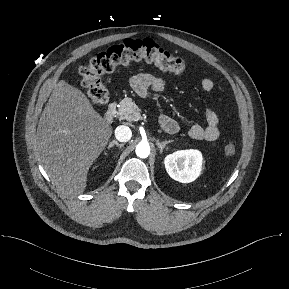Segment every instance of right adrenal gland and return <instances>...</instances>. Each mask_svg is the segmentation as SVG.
<instances>
[{
  "mask_svg": "<svg viewBox=\"0 0 289 289\" xmlns=\"http://www.w3.org/2000/svg\"><path fill=\"white\" fill-rule=\"evenodd\" d=\"M113 146H118L121 149L124 146V144H120L116 140H113L110 142L108 149L112 148Z\"/></svg>",
  "mask_w": 289,
  "mask_h": 289,
  "instance_id": "obj_1",
  "label": "right adrenal gland"
}]
</instances>
